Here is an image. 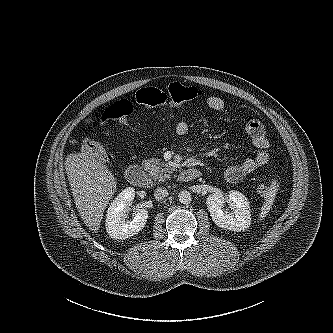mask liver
Listing matches in <instances>:
<instances>
[{"instance_id": "1", "label": "liver", "mask_w": 333, "mask_h": 333, "mask_svg": "<svg viewBox=\"0 0 333 333\" xmlns=\"http://www.w3.org/2000/svg\"><path fill=\"white\" fill-rule=\"evenodd\" d=\"M64 165L76 208L86 226L97 232L117 187L115 177L92 152L70 154Z\"/></svg>"}]
</instances>
